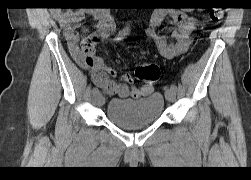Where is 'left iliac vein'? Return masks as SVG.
Listing matches in <instances>:
<instances>
[{
  "label": "left iliac vein",
  "instance_id": "4c4485c4",
  "mask_svg": "<svg viewBox=\"0 0 251 180\" xmlns=\"http://www.w3.org/2000/svg\"><path fill=\"white\" fill-rule=\"evenodd\" d=\"M165 97L169 102H173L176 98V92L172 89H167L165 91Z\"/></svg>",
  "mask_w": 251,
  "mask_h": 180
}]
</instances>
